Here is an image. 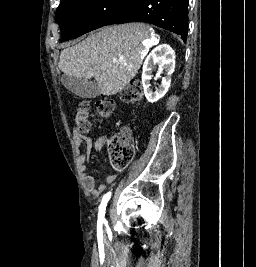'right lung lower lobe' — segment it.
<instances>
[{"label": "right lung lower lobe", "mask_w": 256, "mask_h": 267, "mask_svg": "<svg viewBox=\"0 0 256 267\" xmlns=\"http://www.w3.org/2000/svg\"><path fill=\"white\" fill-rule=\"evenodd\" d=\"M189 0H138L129 14L118 16L105 25L146 22L172 31L184 42L188 33ZM104 25V26H105Z\"/></svg>", "instance_id": "right-lung-lower-lobe-1"}]
</instances>
